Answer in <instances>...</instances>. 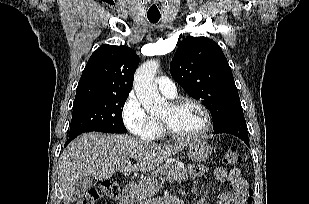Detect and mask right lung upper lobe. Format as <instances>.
<instances>
[{
    "instance_id": "cb5924a9",
    "label": "right lung upper lobe",
    "mask_w": 309,
    "mask_h": 204,
    "mask_svg": "<svg viewBox=\"0 0 309 204\" xmlns=\"http://www.w3.org/2000/svg\"><path fill=\"white\" fill-rule=\"evenodd\" d=\"M138 64L139 57L133 49L101 45L85 66L74 103L109 95H129Z\"/></svg>"
}]
</instances>
